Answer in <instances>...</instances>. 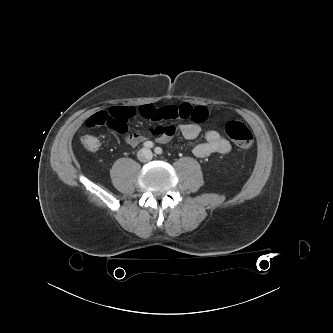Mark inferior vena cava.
Wrapping results in <instances>:
<instances>
[{"label":"inferior vena cava","instance_id":"602c4592","mask_svg":"<svg viewBox=\"0 0 333 333\" xmlns=\"http://www.w3.org/2000/svg\"><path fill=\"white\" fill-rule=\"evenodd\" d=\"M144 151H146V153L148 154V158H144V157H141V155H139V159L142 162H146V161L150 160L152 158V156H153L151 150L145 149Z\"/></svg>","mask_w":333,"mask_h":333}]
</instances>
